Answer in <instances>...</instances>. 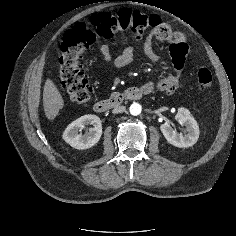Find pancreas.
<instances>
[{"mask_svg":"<svg viewBox=\"0 0 236 236\" xmlns=\"http://www.w3.org/2000/svg\"><path fill=\"white\" fill-rule=\"evenodd\" d=\"M116 95H117L116 92H113V93L111 94L112 97H115Z\"/></svg>","mask_w":236,"mask_h":236,"instance_id":"cf45deb5","label":"pancreas"}]
</instances>
